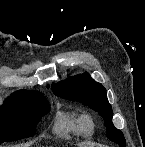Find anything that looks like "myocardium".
Segmentation results:
<instances>
[{"label":"myocardium","mask_w":145,"mask_h":147,"mask_svg":"<svg viewBox=\"0 0 145 147\" xmlns=\"http://www.w3.org/2000/svg\"><path fill=\"white\" fill-rule=\"evenodd\" d=\"M86 119H87L88 123H89L91 126H93V119H92V117H91L90 115H86Z\"/></svg>","instance_id":"myocardium-1"}]
</instances>
